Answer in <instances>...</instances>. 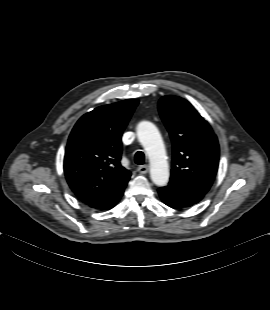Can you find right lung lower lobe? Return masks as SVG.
<instances>
[{
	"mask_svg": "<svg viewBox=\"0 0 270 310\" xmlns=\"http://www.w3.org/2000/svg\"><path fill=\"white\" fill-rule=\"evenodd\" d=\"M126 184H122L119 188H117L114 192L106 196L105 198L89 204L90 207L95 208V209H101V210H107L112 207H114L119 199L121 198L124 189L126 187Z\"/></svg>",
	"mask_w": 270,
	"mask_h": 310,
	"instance_id": "right-lung-lower-lobe-1",
	"label": "right lung lower lobe"
}]
</instances>
